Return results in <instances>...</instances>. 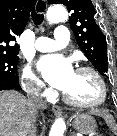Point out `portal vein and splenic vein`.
Segmentation results:
<instances>
[{
    "label": "portal vein and splenic vein",
    "mask_w": 117,
    "mask_h": 136,
    "mask_svg": "<svg viewBox=\"0 0 117 136\" xmlns=\"http://www.w3.org/2000/svg\"><path fill=\"white\" fill-rule=\"evenodd\" d=\"M96 135V133H94V134H91L90 136H95Z\"/></svg>",
    "instance_id": "portal-vein-and-splenic-vein-1"
}]
</instances>
